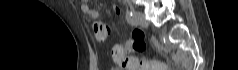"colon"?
Returning a JSON list of instances; mask_svg holds the SVG:
<instances>
[{"mask_svg":"<svg viewBox=\"0 0 238 70\" xmlns=\"http://www.w3.org/2000/svg\"><path fill=\"white\" fill-rule=\"evenodd\" d=\"M144 32L140 29H136L132 32V36L128 37L130 47L135 48L138 51L145 49V43L143 42ZM123 42H114L112 45V58L116 59V62L125 70H163V64L158 61H150L142 58L131 57V54H124Z\"/></svg>","mask_w":238,"mask_h":70,"instance_id":"obj_1","label":"colon"}]
</instances>
